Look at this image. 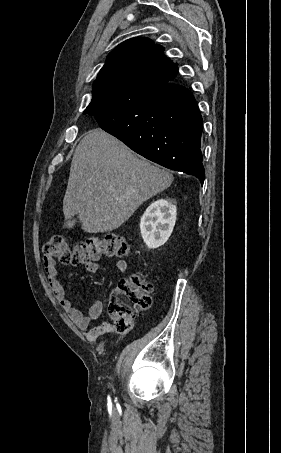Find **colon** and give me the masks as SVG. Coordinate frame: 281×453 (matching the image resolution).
Here are the masks:
<instances>
[{
    "label": "colon",
    "mask_w": 281,
    "mask_h": 453,
    "mask_svg": "<svg viewBox=\"0 0 281 453\" xmlns=\"http://www.w3.org/2000/svg\"><path fill=\"white\" fill-rule=\"evenodd\" d=\"M135 253L128 242L118 238H83L71 247L63 235L54 234L43 257L48 262H96L102 257H131ZM118 287L122 301L112 307V312L119 329L127 331L132 315L146 311L151 303L152 284L136 276L120 279Z\"/></svg>",
    "instance_id": "1"
}]
</instances>
